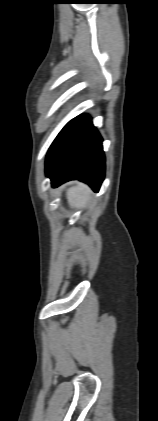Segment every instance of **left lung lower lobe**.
Listing matches in <instances>:
<instances>
[{
    "instance_id": "obj_1",
    "label": "left lung lower lobe",
    "mask_w": 158,
    "mask_h": 421,
    "mask_svg": "<svg viewBox=\"0 0 158 421\" xmlns=\"http://www.w3.org/2000/svg\"><path fill=\"white\" fill-rule=\"evenodd\" d=\"M102 138L84 114L72 119L58 134L46 158V175L52 186L78 179L98 192L104 179Z\"/></svg>"
}]
</instances>
